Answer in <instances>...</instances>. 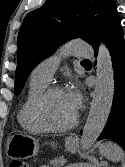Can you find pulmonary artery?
Returning <instances> with one entry per match:
<instances>
[{
	"label": "pulmonary artery",
	"instance_id": "obj_1",
	"mask_svg": "<svg viewBox=\"0 0 125 167\" xmlns=\"http://www.w3.org/2000/svg\"><path fill=\"white\" fill-rule=\"evenodd\" d=\"M66 55H73L76 58H88L92 55V51L85 41L81 39L73 40L65 49L40 62L34 69L32 78L49 83L62 58Z\"/></svg>",
	"mask_w": 125,
	"mask_h": 167
}]
</instances>
